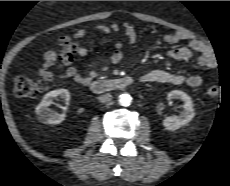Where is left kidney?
<instances>
[{"instance_id": "left-kidney-1", "label": "left kidney", "mask_w": 230, "mask_h": 186, "mask_svg": "<svg viewBox=\"0 0 230 186\" xmlns=\"http://www.w3.org/2000/svg\"><path fill=\"white\" fill-rule=\"evenodd\" d=\"M168 99H180L184 102V111L179 116H167L163 120V126L170 131L177 130L181 126L187 125L194 117L193 101L190 96L180 90H173L168 93Z\"/></svg>"}]
</instances>
